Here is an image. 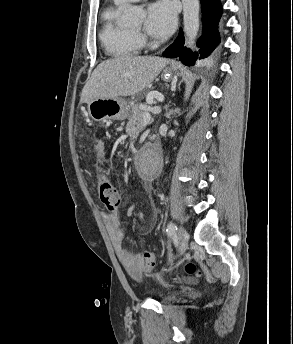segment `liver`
Segmentation results:
<instances>
[{"instance_id": "1", "label": "liver", "mask_w": 293, "mask_h": 344, "mask_svg": "<svg viewBox=\"0 0 293 344\" xmlns=\"http://www.w3.org/2000/svg\"><path fill=\"white\" fill-rule=\"evenodd\" d=\"M168 63L161 57L132 55L103 61L83 87L80 101L134 96L148 87Z\"/></svg>"}]
</instances>
